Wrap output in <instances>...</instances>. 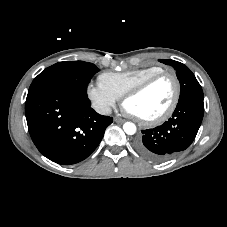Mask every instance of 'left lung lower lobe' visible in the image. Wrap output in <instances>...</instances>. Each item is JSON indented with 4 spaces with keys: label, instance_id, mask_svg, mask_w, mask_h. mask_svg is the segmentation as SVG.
I'll use <instances>...</instances> for the list:
<instances>
[{
    "label": "left lung lower lobe",
    "instance_id": "1",
    "mask_svg": "<svg viewBox=\"0 0 227 227\" xmlns=\"http://www.w3.org/2000/svg\"><path fill=\"white\" fill-rule=\"evenodd\" d=\"M201 96H189L180 101L172 117L152 129L142 130L135 142L139 154L152 161H164L188 148L196 137L204 114Z\"/></svg>",
    "mask_w": 227,
    "mask_h": 227
}]
</instances>
